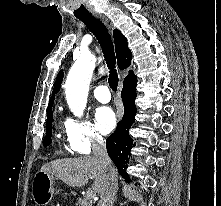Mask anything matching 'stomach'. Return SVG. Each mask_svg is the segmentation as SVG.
<instances>
[{
    "label": "stomach",
    "mask_w": 221,
    "mask_h": 206,
    "mask_svg": "<svg viewBox=\"0 0 221 206\" xmlns=\"http://www.w3.org/2000/svg\"><path fill=\"white\" fill-rule=\"evenodd\" d=\"M55 178L45 172H38L32 183V197L37 206H45L55 193Z\"/></svg>",
    "instance_id": "obj_1"
}]
</instances>
